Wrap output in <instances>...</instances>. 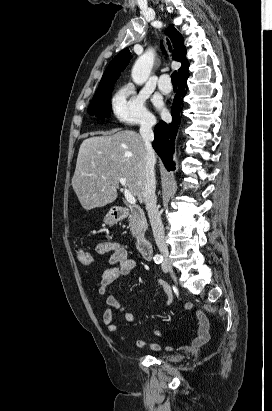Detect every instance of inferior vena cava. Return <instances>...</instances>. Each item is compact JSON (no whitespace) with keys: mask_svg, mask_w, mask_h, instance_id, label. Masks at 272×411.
<instances>
[{"mask_svg":"<svg viewBox=\"0 0 272 411\" xmlns=\"http://www.w3.org/2000/svg\"><path fill=\"white\" fill-rule=\"evenodd\" d=\"M156 124L154 117L145 118L140 124V135L145 144V176H144V191L143 199L148 212V217L152 227L156 245L164 259L168 260L169 252L165 242L164 227L161 221V216L156 206L157 198L155 194L156 179L154 166L156 162L155 153L151 142L154 139L153 127Z\"/></svg>","mask_w":272,"mask_h":411,"instance_id":"obj_1","label":"inferior vena cava"}]
</instances>
